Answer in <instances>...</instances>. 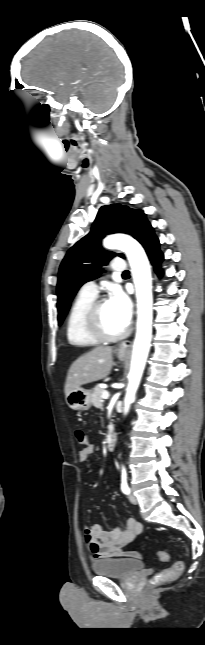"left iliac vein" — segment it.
Segmentation results:
<instances>
[{
	"label": "left iliac vein",
	"instance_id": "obj_1",
	"mask_svg": "<svg viewBox=\"0 0 205 645\" xmlns=\"http://www.w3.org/2000/svg\"><path fill=\"white\" fill-rule=\"evenodd\" d=\"M128 499L132 504H137L138 503L137 497L132 493L129 494Z\"/></svg>",
	"mask_w": 205,
	"mask_h": 645
}]
</instances>
